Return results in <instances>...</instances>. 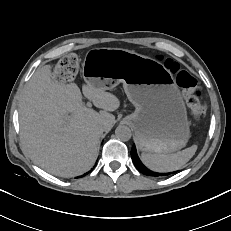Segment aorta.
Here are the masks:
<instances>
[{"mask_svg": "<svg viewBox=\"0 0 231 231\" xmlns=\"http://www.w3.org/2000/svg\"><path fill=\"white\" fill-rule=\"evenodd\" d=\"M115 135L121 141H128L130 140L132 133L129 127L120 125L116 128Z\"/></svg>", "mask_w": 231, "mask_h": 231, "instance_id": "obj_1", "label": "aorta"}]
</instances>
